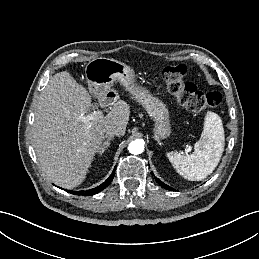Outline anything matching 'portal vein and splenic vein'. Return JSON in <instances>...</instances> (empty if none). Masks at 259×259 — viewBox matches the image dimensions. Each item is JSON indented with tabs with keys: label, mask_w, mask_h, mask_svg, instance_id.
Wrapping results in <instances>:
<instances>
[{
	"label": "portal vein and splenic vein",
	"mask_w": 259,
	"mask_h": 259,
	"mask_svg": "<svg viewBox=\"0 0 259 259\" xmlns=\"http://www.w3.org/2000/svg\"><path fill=\"white\" fill-rule=\"evenodd\" d=\"M103 116L101 111H94L91 114L80 116L79 119L84 123H90V121L97 120Z\"/></svg>",
	"instance_id": "1"
}]
</instances>
